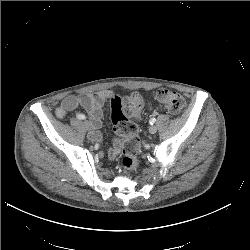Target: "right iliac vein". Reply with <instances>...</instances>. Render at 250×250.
I'll return each mask as SVG.
<instances>
[{
  "instance_id": "1",
  "label": "right iliac vein",
  "mask_w": 250,
  "mask_h": 250,
  "mask_svg": "<svg viewBox=\"0 0 250 250\" xmlns=\"http://www.w3.org/2000/svg\"><path fill=\"white\" fill-rule=\"evenodd\" d=\"M83 125H84V127H85L87 130H90V129H91V123H90L89 121L85 120V121L83 122Z\"/></svg>"
}]
</instances>
